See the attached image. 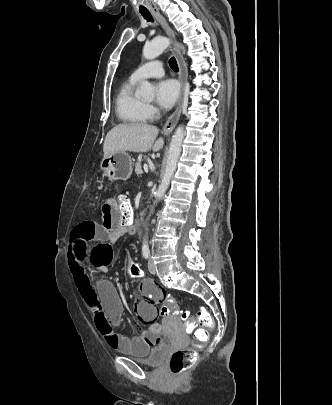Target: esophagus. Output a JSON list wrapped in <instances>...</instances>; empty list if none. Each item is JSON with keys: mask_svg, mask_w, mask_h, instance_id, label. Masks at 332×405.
Wrapping results in <instances>:
<instances>
[{"mask_svg": "<svg viewBox=\"0 0 332 405\" xmlns=\"http://www.w3.org/2000/svg\"><path fill=\"white\" fill-rule=\"evenodd\" d=\"M152 14L159 21V23L165 30L166 34L174 40L175 39L174 31L171 29V27L169 26V24L167 23L165 18L159 13L158 10H152ZM172 52L178 62V66H179V70H180L179 79H180V83H181V92H180L178 104H177L175 111L169 116V118L167 119L166 123L163 126L162 132L164 134H170L173 131V129L175 128V126L179 120V117L181 114V109H182L185 85H186V81H187V69H186L185 62L183 60V57H182L179 49L173 45Z\"/></svg>", "mask_w": 332, "mask_h": 405, "instance_id": "esophagus-1", "label": "esophagus"}]
</instances>
